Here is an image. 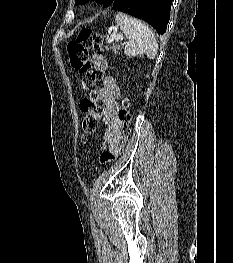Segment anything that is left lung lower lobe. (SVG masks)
<instances>
[{"instance_id": "0a47b994", "label": "left lung lower lobe", "mask_w": 233, "mask_h": 263, "mask_svg": "<svg viewBox=\"0 0 233 263\" xmlns=\"http://www.w3.org/2000/svg\"><path fill=\"white\" fill-rule=\"evenodd\" d=\"M171 5L172 0H115L112 9L146 21L161 35L166 32Z\"/></svg>"}]
</instances>
